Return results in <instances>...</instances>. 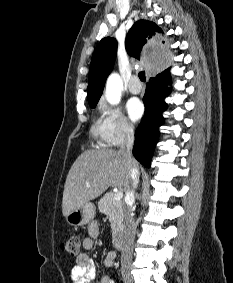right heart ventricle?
I'll return each mask as SVG.
<instances>
[{"instance_id": "obj_1", "label": "right heart ventricle", "mask_w": 233, "mask_h": 283, "mask_svg": "<svg viewBox=\"0 0 233 283\" xmlns=\"http://www.w3.org/2000/svg\"><path fill=\"white\" fill-rule=\"evenodd\" d=\"M90 132L98 146L106 148L110 145V142L107 138L104 118L102 117L96 118L91 126Z\"/></svg>"}]
</instances>
